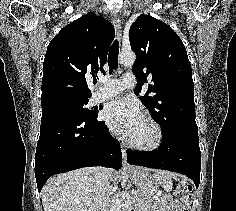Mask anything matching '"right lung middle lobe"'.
Returning <instances> with one entry per match:
<instances>
[{"label": "right lung middle lobe", "mask_w": 236, "mask_h": 211, "mask_svg": "<svg viewBox=\"0 0 236 211\" xmlns=\"http://www.w3.org/2000/svg\"><path fill=\"white\" fill-rule=\"evenodd\" d=\"M88 99L58 98L42 104V115L66 113L75 117H96L95 110L86 108Z\"/></svg>", "instance_id": "right-lung-middle-lobe-1"}]
</instances>
